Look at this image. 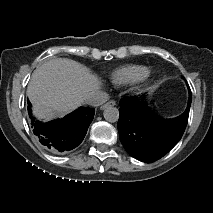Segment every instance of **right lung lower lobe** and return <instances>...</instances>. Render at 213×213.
<instances>
[{"instance_id": "obj_1", "label": "right lung lower lobe", "mask_w": 213, "mask_h": 213, "mask_svg": "<svg viewBox=\"0 0 213 213\" xmlns=\"http://www.w3.org/2000/svg\"><path fill=\"white\" fill-rule=\"evenodd\" d=\"M28 100V111L34 134L43 145L59 152L77 147L83 140L94 117L93 108H79L63 119L48 123L36 120L31 113Z\"/></svg>"}]
</instances>
